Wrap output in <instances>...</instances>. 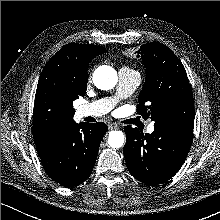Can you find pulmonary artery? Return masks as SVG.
Wrapping results in <instances>:
<instances>
[{
	"instance_id": "obj_1",
	"label": "pulmonary artery",
	"mask_w": 220,
	"mask_h": 220,
	"mask_svg": "<svg viewBox=\"0 0 220 220\" xmlns=\"http://www.w3.org/2000/svg\"><path fill=\"white\" fill-rule=\"evenodd\" d=\"M118 74L119 81L116 96L112 98H103L80 106L79 114L82 117H99L105 115L116 105L118 100L127 98L133 94L140 83L139 73L128 68H121ZM146 131L152 133L154 131V126L149 125Z\"/></svg>"
}]
</instances>
